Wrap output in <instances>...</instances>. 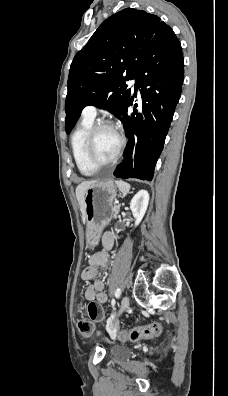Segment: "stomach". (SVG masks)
Returning a JSON list of instances; mask_svg holds the SVG:
<instances>
[{
	"label": "stomach",
	"instance_id": "1",
	"mask_svg": "<svg viewBox=\"0 0 228 396\" xmlns=\"http://www.w3.org/2000/svg\"><path fill=\"white\" fill-rule=\"evenodd\" d=\"M116 195V186L112 180L94 182L86 189L84 205L88 247L93 248L98 243L104 227L110 222Z\"/></svg>",
	"mask_w": 228,
	"mask_h": 396
}]
</instances>
